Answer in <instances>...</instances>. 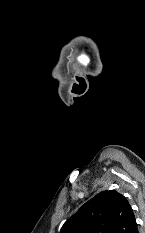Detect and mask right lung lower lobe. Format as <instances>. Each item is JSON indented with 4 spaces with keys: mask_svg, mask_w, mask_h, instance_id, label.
I'll return each mask as SVG.
<instances>
[{
    "mask_svg": "<svg viewBox=\"0 0 145 233\" xmlns=\"http://www.w3.org/2000/svg\"><path fill=\"white\" fill-rule=\"evenodd\" d=\"M132 233H138V228H137V226H136V228L133 230Z\"/></svg>",
    "mask_w": 145,
    "mask_h": 233,
    "instance_id": "98d812e1",
    "label": "right lung lower lobe"
}]
</instances>
